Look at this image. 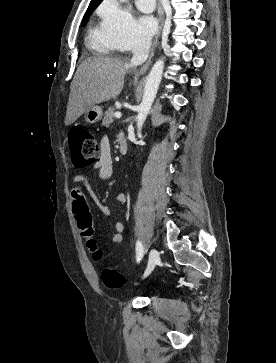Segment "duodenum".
<instances>
[{"label":"duodenum","instance_id":"obj_1","mask_svg":"<svg viewBox=\"0 0 276 363\" xmlns=\"http://www.w3.org/2000/svg\"><path fill=\"white\" fill-rule=\"evenodd\" d=\"M119 150L121 154H126L128 150L127 139L123 134L118 135Z\"/></svg>","mask_w":276,"mask_h":363}]
</instances>
